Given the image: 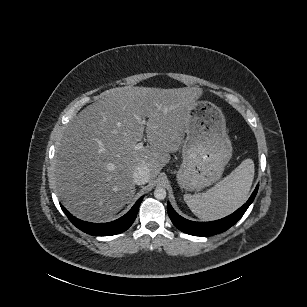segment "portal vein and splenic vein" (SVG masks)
Returning a JSON list of instances; mask_svg holds the SVG:
<instances>
[{"label": "portal vein and splenic vein", "mask_w": 307, "mask_h": 307, "mask_svg": "<svg viewBox=\"0 0 307 307\" xmlns=\"http://www.w3.org/2000/svg\"><path fill=\"white\" fill-rule=\"evenodd\" d=\"M144 122V121H143ZM142 148V144L138 143L134 146V150H140Z\"/></svg>", "instance_id": "portal-vein-and-splenic-vein-1"}]
</instances>
